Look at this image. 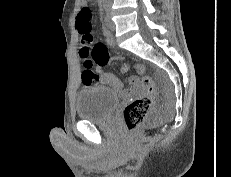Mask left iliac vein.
<instances>
[{
    "label": "left iliac vein",
    "mask_w": 231,
    "mask_h": 177,
    "mask_svg": "<svg viewBox=\"0 0 231 177\" xmlns=\"http://www.w3.org/2000/svg\"><path fill=\"white\" fill-rule=\"evenodd\" d=\"M105 21H106V25H107L108 29H110L111 31H114L115 30V23L112 21L111 14L109 11L106 14Z\"/></svg>",
    "instance_id": "1"
}]
</instances>
